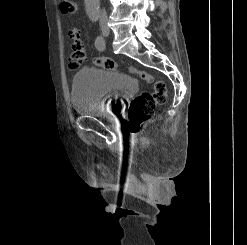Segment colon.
I'll return each instance as SVG.
<instances>
[{"label": "colon", "instance_id": "obj_1", "mask_svg": "<svg viewBox=\"0 0 247 245\" xmlns=\"http://www.w3.org/2000/svg\"><path fill=\"white\" fill-rule=\"evenodd\" d=\"M60 7L65 14H73L76 11V4L73 0H63ZM69 34L73 39V55L70 58L69 67L71 69H77L84 63L86 52L79 32L71 30ZM93 63L99 67L110 70H115L120 67L113 59L104 57L94 58ZM128 70L153 85L152 92H142L130 103L128 110L129 124L132 130L138 131L144 123L153 117L156 106L165 102L167 88L162 80L156 79L149 72L137 69L136 67H129Z\"/></svg>", "mask_w": 247, "mask_h": 245}]
</instances>
